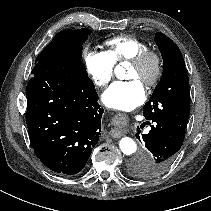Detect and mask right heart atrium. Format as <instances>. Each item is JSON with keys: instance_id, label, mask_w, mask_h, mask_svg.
Here are the masks:
<instances>
[{"instance_id": "right-heart-atrium-1", "label": "right heart atrium", "mask_w": 211, "mask_h": 211, "mask_svg": "<svg viewBox=\"0 0 211 211\" xmlns=\"http://www.w3.org/2000/svg\"><path fill=\"white\" fill-rule=\"evenodd\" d=\"M84 62L87 72L100 88L105 87L113 78L114 66L106 52L90 49L84 53Z\"/></svg>"}]
</instances>
